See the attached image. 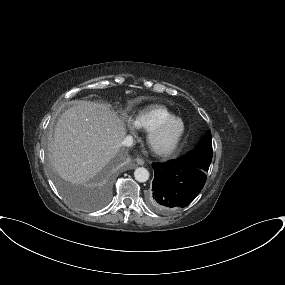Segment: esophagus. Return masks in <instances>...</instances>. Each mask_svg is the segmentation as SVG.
Returning <instances> with one entry per match:
<instances>
[{
    "mask_svg": "<svg viewBox=\"0 0 285 285\" xmlns=\"http://www.w3.org/2000/svg\"><path fill=\"white\" fill-rule=\"evenodd\" d=\"M135 161L138 165L144 164V160L142 158H136ZM134 168H135V166H131V169H134Z\"/></svg>",
    "mask_w": 285,
    "mask_h": 285,
    "instance_id": "obj_1",
    "label": "esophagus"
}]
</instances>
